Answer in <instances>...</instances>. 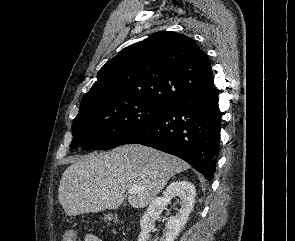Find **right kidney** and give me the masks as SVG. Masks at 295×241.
I'll return each instance as SVG.
<instances>
[{
	"label": "right kidney",
	"mask_w": 295,
	"mask_h": 241,
	"mask_svg": "<svg viewBox=\"0 0 295 241\" xmlns=\"http://www.w3.org/2000/svg\"><path fill=\"white\" fill-rule=\"evenodd\" d=\"M179 197L181 208L175 216L168 219L166 231L159 241H174L186 224L189 214L193 209L196 197L194 185L187 180L172 182L162 196L155 198L140 220L141 232L138 241H150V233L154 229V222L167 204L173 199Z\"/></svg>",
	"instance_id": "obj_1"
}]
</instances>
